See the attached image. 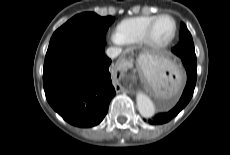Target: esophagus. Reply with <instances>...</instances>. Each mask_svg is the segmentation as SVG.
Wrapping results in <instances>:
<instances>
[{"instance_id": "obj_1", "label": "esophagus", "mask_w": 230, "mask_h": 155, "mask_svg": "<svg viewBox=\"0 0 230 155\" xmlns=\"http://www.w3.org/2000/svg\"><path fill=\"white\" fill-rule=\"evenodd\" d=\"M118 66H119V69L124 72L129 67V63L128 62H120L118 64ZM114 86H115V90L117 93L126 90L117 80H115Z\"/></svg>"}]
</instances>
